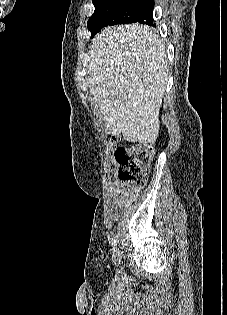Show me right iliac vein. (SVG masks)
<instances>
[{
	"label": "right iliac vein",
	"mask_w": 227,
	"mask_h": 315,
	"mask_svg": "<svg viewBox=\"0 0 227 315\" xmlns=\"http://www.w3.org/2000/svg\"><path fill=\"white\" fill-rule=\"evenodd\" d=\"M112 261L114 264H119L120 263V253L118 249H114L112 253Z\"/></svg>",
	"instance_id": "1"
}]
</instances>
